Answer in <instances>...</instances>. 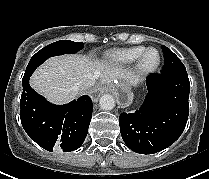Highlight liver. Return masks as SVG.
Returning <instances> with one entry per match:
<instances>
[{
	"mask_svg": "<svg viewBox=\"0 0 209 179\" xmlns=\"http://www.w3.org/2000/svg\"><path fill=\"white\" fill-rule=\"evenodd\" d=\"M91 76L101 85L119 80L128 86L138 81L132 73L116 65H106L83 55H63L52 57L38 67L30 84L50 102L62 104L82 92L77 83Z\"/></svg>",
	"mask_w": 209,
	"mask_h": 179,
	"instance_id": "6515ba94",
	"label": "liver"
}]
</instances>
